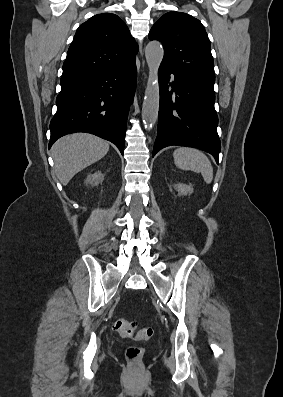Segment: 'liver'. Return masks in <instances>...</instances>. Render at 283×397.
<instances>
[{"mask_svg":"<svg viewBox=\"0 0 283 397\" xmlns=\"http://www.w3.org/2000/svg\"><path fill=\"white\" fill-rule=\"evenodd\" d=\"M109 143L97 136L75 133L57 140L52 147L54 170L63 185L75 174L103 158Z\"/></svg>","mask_w":283,"mask_h":397,"instance_id":"6515ba94","label":"liver"}]
</instances>
